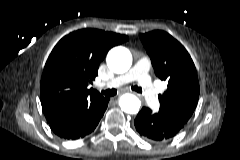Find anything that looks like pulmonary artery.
Listing matches in <instances>:
<instances>
[{"instance_id": "obj_1", "label": "pulmonary artery", "mask_w": 240, "mask_h": 160, "mask_svg": "<svg viewBox=\"0 0 240 160\" xmlns=\"http://www.w3.org/2000/svg\"><path fill=\"white\" fill-rule=\"evenodd\" d=\"M151 67V62L147 57H140L133 67L125 74L114 78L108 82L109 87H116L123 84L130 83L132 81H137L143 90L144 97L153 109L158 108L159 101L157 95V89L148 75L149 69Z\"/></svg>"}]
</instances>
